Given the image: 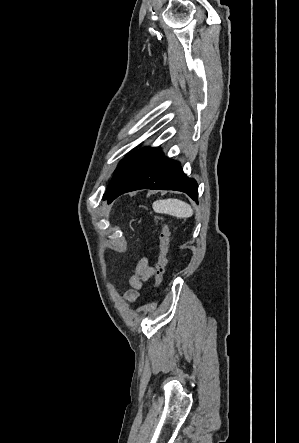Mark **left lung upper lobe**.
<instances>
[{
    "mask_svg": "<svg viewBox=\"0 0 299 443\" xmlns=\"http://www.w3.org/2000/svg\"><path fill=\"white\" fill-rule=\"evenodd\" d=\"M153 148H144L138 151H135L128 156H126L118 165L114 172V176L108 186V189L113 188L117 183L123 178V176L141 159H143L146 155H148ZM107 189V190H108Z\"/></svg>",
    "mask_w": 299,
    "mask_h": 443,
    "instance_id": "obj_1",
    "label": "left lung upper lobe"
}]
</instances>
